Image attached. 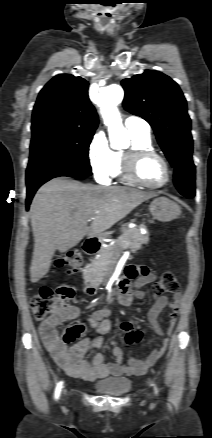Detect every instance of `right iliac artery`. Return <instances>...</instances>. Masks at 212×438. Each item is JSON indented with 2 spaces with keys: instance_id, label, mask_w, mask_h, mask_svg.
<instances>
[{
  "instance_id": "1",
  "label": "right iliac artery",
  "mask_w": 212,
  "mask_h": 438,
  "mask_svg": "<svg viewBox=\"0 0 212 438\" xmlns=\"http://www.w3.org/2000/svg\"><path fill=\"white\" fill-rule=\"evenodd\" d=\"M62 384H63V382L61 381L56 386V389H55V399H58L59 396H60L61 389H62Z\"/></svg>"
}]
</instances>
